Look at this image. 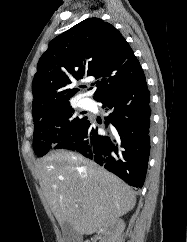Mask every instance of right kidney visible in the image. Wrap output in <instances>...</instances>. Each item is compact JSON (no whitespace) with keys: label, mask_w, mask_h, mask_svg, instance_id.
Wrapping results in <instances>:
<instances>
[{"label":"right kidney","mask_w":187,"mask_h":242,"mask_svg":"<svg viewBox=\"0 0 187 242\" xmlns=\"http://www.w3.org/2000/svg\"><path fill=\"white\" fill-rule=\"evenodd\" d=\"M125 229V223L122 219H115L103 226V231L108 236L107 242H115L118 235ZM90 242V241H86Z\"/></svg>","instance_id":"1"}]
</instances>
